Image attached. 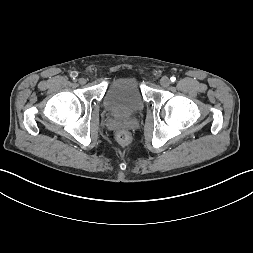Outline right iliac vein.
I'll use <instances>...</instances> for the list:
<instances>
[{"mask_svg": "<svg viewBox=\"0 0 253 253\" xmlns=\"http://www.w3.org/2000/svg\"><path fill=\"white\" fill-rule=\"evenodd\" d=\"M78 82H79L81 85H83V84H85L87 81H86L85 78H79V79H78Z\"/></svg>", "mask_w": 253, "mask_h": 253, "instance_id": "63e3f726", "label": "right iliac vein"}]
</instances>
